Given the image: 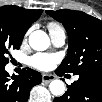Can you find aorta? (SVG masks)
<instances>
[{
	"label": "aorta",
	"mask_w": 102,
	"mask_h": 102,
	"mask_svg": "<svg viewBox=\"0 0 102 102\" xmlns=\"http://www.w3.org/2000/svg\"><path fill=\"white\" fill-rule=\"evenodd\" d=\"M29 44L34 50L43 51L49 47L50 39L44 31L36 30L30 34ZM49 89L54 96H62L65 92V85L61 80H53Z\"/></svg>",
	"instance_id": "aorta-1"
}]
</instances>
